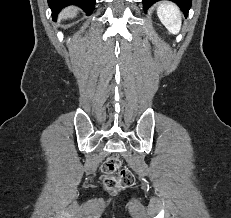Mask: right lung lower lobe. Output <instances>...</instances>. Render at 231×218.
I'll return each instance as SVG.
<instances>
[{
    "mask_svg": "<svg viewBox=\"0 0 231 218\" xmlns=\"http://www.w3.org/2000/svg\"><path fill=\"white\" fill-rule=\"evenodd\" d=\"M95 2L96 0H48L54 19L61 8L72 4L81 7L88 15H90L93 11Z\"/></svg>",
    "mask_w": 231,
    "mask_h": 218,
    "instance_id": "1",
    "label": "right lung lower lobe"
}]
</instances>
